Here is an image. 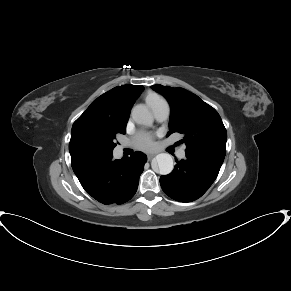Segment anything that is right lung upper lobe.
<instances>
[{
  "mask_svg": "<svg viewBox=\"0 0 291 291\" xmlns=\"http://www.w3.org/2000/svg\"><path fill=\"white\" fill-rule=\"evenodd\" d=\"M143 89L141 85L118 86L93 101L72 126L71 159L87 156L82 148L85 135L126 131L131 108Z\"/></svg>",
  "mask_w": 291,
  "mask_h": 291,
  "instance_id": "right-lung-upper-lobe-1",
  "label": "right lung upper lobe"
}]
</instances>
